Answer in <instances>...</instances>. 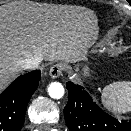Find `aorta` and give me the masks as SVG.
<instances>
[{
    "label": "aorta",
    "instance_id": "obj_1",
    "mask_svg": "<svg viewBox=\"0 0 131 131\" xmlns=\"http://www.w3.org/2000/svg\"><path fill=\"white\" fill-rule=\"evenodd\" d=\"M48 93L53 99H61L64 96L65 90L60 83L54 82L50 84Z\"/></svg>",
    "mask_w": 131,
    "mask_h": 131
}]
</instances>
